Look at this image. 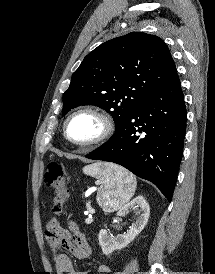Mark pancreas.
<instances>
[{
    "label": "pancreas",
    "instance_id": "obj_1",
    "mask_svg": "<svg viewBox=\"0 0 215 274\" xmlns=\"http://www.w3.org/2000/svg\"><path fill=\"white\" fill-rule=\"evenodd\" d=\"M87 209L90 210V204L89 203H87Z\"/></svg>",
    "mask_w": 215,
    "mask_h": 274
}]
</instances>
